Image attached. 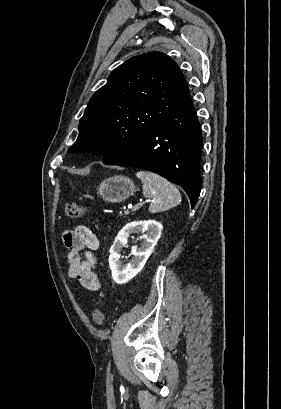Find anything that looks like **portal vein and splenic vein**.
Instances as JSON below:
<instances>
[{
    "instance_id": "obj_1",
    "label": "portal vein and splenic vein",
    "mask_w": 281,
    "mask_h": 409,
    "mask_svg": "<svg viewBox=\"0 0 281 409\" xmlns=\"http://www.w3.org/2000/svg\"><path fill=\"white\" fill-rule=\"evenodd\" d=\"M138 200H145V198L139 197ZM125 213H126V216H131V210L130 209H126Z\"/></svg>"
}]
</instances>
